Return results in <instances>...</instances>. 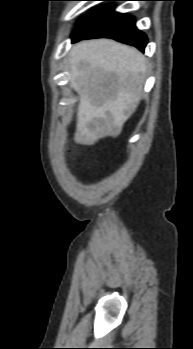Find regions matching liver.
<instances>
[{
    "label": "liver",
    "instance_id": "liver-1",
    "mask_svg": "<svg viewBox=\"0 0 193 349\" xmlns=\"http://www.w3.org/2000/svg\"><path fill=\"white\" fill-rule=\"evenodd\" d=\"M70 54V83L80 96L74 141L93 145L117 137L139 104L145 58L136 48L110 39L81 41Z\"/></svg>",
    "mask_w": 193,
    "mask_h": 349
}]
</instances>
